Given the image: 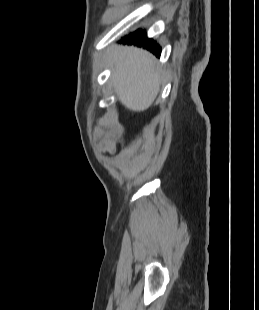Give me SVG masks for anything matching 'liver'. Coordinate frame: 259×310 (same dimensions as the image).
I'll list each match as a JSON object with an SVG mask.
<instances>
[{
    "instance_id": "obj_1",
    "label": "liver",
    "mask_w": 259,
    "mask_h": 310,
    "mask_svg": "<svg viewBox=\"0 0 259 310\" xmlns=\"http://www.w3.org/2000/svg\"><path fill=\"white\" fill-rule=\"evenodd\" d=\"M109 65L114 66L112 83L119 101L132 111L148 109L161 81L154 57L136 47H115L109 50Z\"/></svg>"
}]
</instances>
